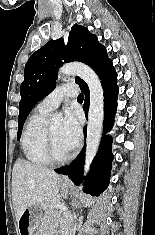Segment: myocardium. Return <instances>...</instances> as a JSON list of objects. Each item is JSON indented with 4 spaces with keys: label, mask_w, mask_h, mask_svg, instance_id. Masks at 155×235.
Returning <instances> with one entry per match:
<instances>
[{
    "label": "myocardium",
    "mask_w": 155,
    "mask_h": 235,
    "mask_svg": "<svg viewBox=\"0 0 155 235\" xmlns=\"http://www.w3.org/2000/svg\"><path fill=\"white\" fill-rule=\"evenodd\" d=\"M45 152H46V156L50 162L58 163V164L65 163L68 160H70L72 157L71 152H69L68 154H66L64 156H59L56 153L49 126H47L46 130H45Z\"/></svg>",
    "instance_id": "obj_1"
}]
</instances>
